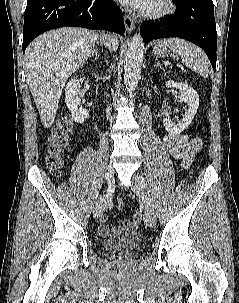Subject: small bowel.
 Instances as JSON below:
<instances>
[{"instance_id":"c3829d8e","label":"small bowel","mask_w":239,"mask_h":303,"mask_svg":"<svg viewBox=\"0 0 239 303\" xmlns=\"http://www.w3.org/2000/svg\"><path fill=\"white\" fill-rule=\"evenodd\" d=\"M163 143L170 155L181 161L184 169H189L194 161L195 155L201 150L202 142L199 138L189 134H167L163 137ZM138 218V216H135ZM139 222L129 220L120 221L117 224H110L106 217L100 219L99 233L104 236H110L119 231H134Z\"/></svg>"}]
</instances>
